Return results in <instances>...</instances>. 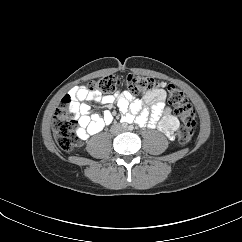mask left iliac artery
<instances>
[{
  "label": "left iliac artery",
  "instance_id": "1",
  "mask_svg": "<svg viewBox=\"0 0 242 242\" xmlns=\"http://www.w3.org/2000/svg\"><path fill=\"white\" fill-rule=\"evenodd\" d=\"M129 130H133V126H129Z\"/></svg>",
  "mask_w": 242,
  "mask_h": 242
}]
</instances>
